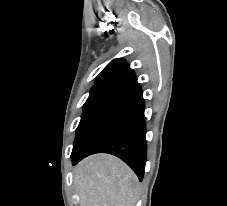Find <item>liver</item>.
I'll use <instances>...</instances> for the list:
<instances>
[{"mask_svg":"<svg viewBox=\"0 0 227 206\" xmlns=\"http://www.w3.org/2000/svg\"><path fill=\"white\" fill-rule=\"evenodd\" d=\"M74 183L80 206H135L137 177L120 159L96 154L74 169Z\"/></svg>","mask_w":227,"mask_h":206,"instance_id":"obj_1","label":"liver"}]
</instances>
